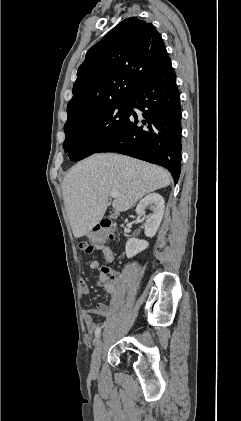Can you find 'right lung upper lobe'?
I'll return each mask as SVG.
<instances>
[{"instance_id": "cb5924a9", "label": "right lung upper lobe", "mask_w": 241, "mask_h": 421, "mask_svg": "<svg viewBox=\"0 0 241 421\" xmlns=\"http://www.w3.org/2000/svg\"><path fill=\"white\" fill-rule=\"evenodd\" d=\"M168 57L156 28L137 17L120 22L86 53L73 85L64 127L129 100Z\"/></svg>"}]
</instances>
